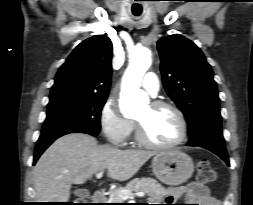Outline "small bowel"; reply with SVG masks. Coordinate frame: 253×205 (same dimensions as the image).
Here are the masks:
<instances>
[{"mask_svg":"<svg viewBox=\"0 0 253 205\" xmlns=\"http://www.w3.org/2000/svg\"><path fill=\"white\" fill-rule=\"evenodd\" d=\"M182 196L186 197V200L196 204L190 205H220L210 193L207 186L199 182H191L187 186L175 188L169 195V200L173 201Z\"/></svg>","mask_w":253,"mask_h":205,"instance_id":"obj_1","label":"small bowel"}]
</instances>
